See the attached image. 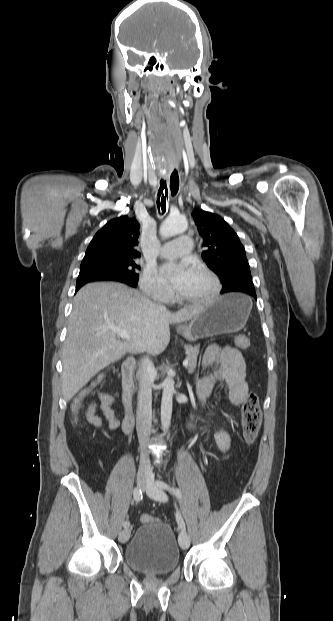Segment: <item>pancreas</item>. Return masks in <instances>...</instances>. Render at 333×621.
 Returning <instances> with one entry per match:
<instances>
[{"instance_id": "pancreas-1", "label": "pancreas", "mask_w": 333, "mask_h": 621, "mask_svg": "<svg viewBox=\"0 0 333 621\" xmlns=\"http://www.w3.org/2000/svg\"><path fill=\"white\" fill-rule=\"evenodd\" d=\"M199 348H200L199 344L195 346H192V345L185 346L186 356H187V359L189 360V364L187 366V369L189 370V372H193L196 368Z\"/></svg>"}]
</instances>
